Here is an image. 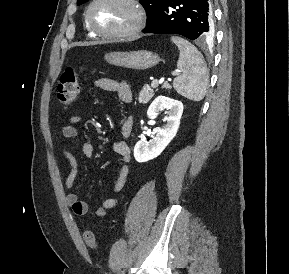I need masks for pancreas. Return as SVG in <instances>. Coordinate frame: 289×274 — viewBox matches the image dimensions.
Returning <instances> with one entry per match:
<instances>
[{"mask_svg":"<svg viewBox=\"0 0 289 274\" xmlns=\"http://www.w3.org/2000/svg\"><path fill=\"white\" fill-rule=\"evenodd\" d=\"M162 87L170 89V85L167 83L163 84ZM153 96H154V90L152 86L144 85L143 89L139 93V103L141 104L148 103Z\"/></svg>","mask_w":289,"mask_h":274,"instance_id":"pancreas-1","label":"pancreas"}]
</instances>
